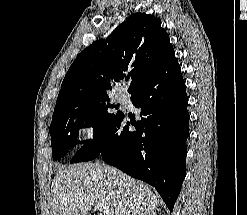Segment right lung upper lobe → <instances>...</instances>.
<instances>
[{
	"mask_svg": "<svg viewBox=\"0 0 247 215\" xmlns=\"http://www.w3.org/2000/svg\"><path fill=\"white\" fill-rule=\"evenodd\" d=\"M172 49L158 18L141 12L132 14L106 39L92 43L77 56L62 82L54 113L107 95L110 83L118 82L125 73L130 79V93Z\"/></svg>",
	"mask_w": 247,
	"mask_h": 215,
	"instance_id": "cb5924a9",
	"label": "right lung upper lobe"
}]
</instances>
